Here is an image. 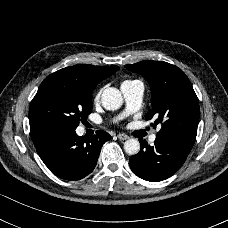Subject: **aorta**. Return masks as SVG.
Wrapping results in <instances>:
<instances>
[{
	"instance_id": "1",
	"label": "aorta",
	"mask_w": 228,
	"mask_h": 228,
	"mask_svg": "<svg viewBox=\"0 0 228 228\" xmlns=\"http://www.w3.org/2000/svg\"><path fill=\"white\" fill-rule=\"evenodd\" d=\"M102 105L106 110H117L123 104L121 92L114 87L106 88L101 96ZM126 153L135 155L140 150V143L137 139H128L124 143Z\"/></svg>"
}]
</instances>
